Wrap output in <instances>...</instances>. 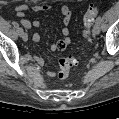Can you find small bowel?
I'll list each match as a JSON object with an SVG mask.
<instances>
[{
    "label": "small bowel",
    "mask_w": 119,
    "mask_h": 119,
    "mask_svg": "<svg viewBox=\"0 0 119 119\" xmlns=\"http://www.w3.org/2000/svg\"><path fill=\"white\" fill-rule=\"evenodd\" d=\"M52 6L50 4H21L16 8V14L18 17L21 18L20 23L27 29L31 28H39L40 22L35 20L33 22H30L27 19H24V15L27 11H33V12H47L51 10ZM61 13L63 15V28H62V34L64 36V39L58 41L57 43L52 44L51 50L52 51H60L64 50L69 44H70V38H69V25L72 18V13L70 8L67 5H61L60 7ZM33 42L38 43L40 41V34L38 32H35L32 36ZM34 60L39 64L43 65L44 61L39 58L35 57ZM49 77H55L56 72L55 71H49L48 72Z\"/></svg>",
    "instance_id": "obj_1"
}]
</instances>
